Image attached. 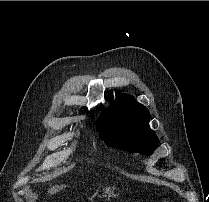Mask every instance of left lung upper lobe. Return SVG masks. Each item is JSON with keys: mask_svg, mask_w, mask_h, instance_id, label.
<instances>
[{"mask_svg": "<svg viewBox=\"0 0 209 202\" xmlns=\"http://www.w3.org/2000/svg\"><path fill=\"white\" fill-rule=\"evenodd\" d=\"M149 110L133 96L119 94L103 111L98 130L106 144L151 155L158 147L159 139L149 127Z\"/></svg>", "mask_w": 209, "mask_h": 202, "instance_id": "obj_1", "label": "left lung upper lobe"}]
</instances>
